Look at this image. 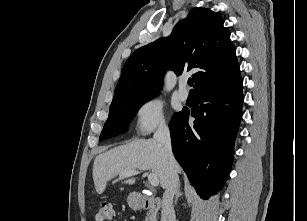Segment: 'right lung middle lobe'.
Listing matches in <instances>:
<instances>
[{"label":"right lung middle lobe","instance_id":"dd1d6c3e","mask_svg":"<svg viewBox=\"0 0 307 221\" xmlns=\"http://www.w3.org/2000/svg\"><path fill=\"white\" fill-rule=\"evenodd\" d=\"M157 93H142L125 97L112 103L109 109V116L104 124L99 141L117 136L127 131L129 123L139 108L147 101L155 97ZM174 114V116H176Z\"/></svg>","mask_w":307,"mask_h":221}]
</instances>
